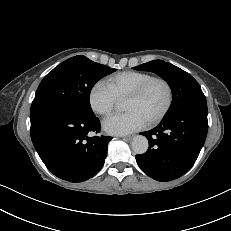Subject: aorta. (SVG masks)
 Listing matches in <instances>:
<instances>
[{
    "mask_svg": "<svg viewBox=\"0 0 231 231\" xmlns=\"http://www.w3.org/2000/svg\"><path fill=\"white\" fill-rule=\"evenodd\" d=\"M132 150L136 154H144L149 147L148 140L143 135H136L131 142Z\"/></svg>",
    "mask_w": 231,
    "mask_h": 231,
    "instance_id": "1",
    "label": "aorta"
}]
</instances>
